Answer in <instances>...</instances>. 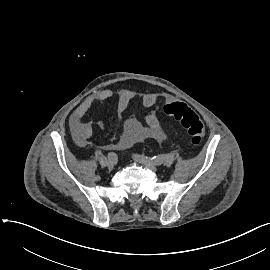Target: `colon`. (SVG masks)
I'll return each mask as SVG.
<instances>
[{
    "label": "colon",
    "mask_w": 270,
    "mask_h": 270,
    "mask_svg": "<svg viewBox=\"0 0 270 270\" xmlns=\"http://www.w3.org/2000/svg\"><path fill=\"white\" fill-rule=\"evenodd\" d=\"M162 117L178 121L188 134L192 146H199L204 136V126L198 115L187 104L173 102L160 110Z\"/></svg>",
    "instance_id": "obj_1"
}]
</instances>
